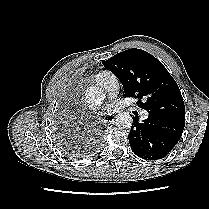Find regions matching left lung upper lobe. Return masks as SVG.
<instances>
[{"label":"left lung upper lobe","instance_id":"left-lung-upper-lobe-1","mask_svg":"<svg viewBox=\"0 0 209 209\" xmlns=\"http://www.w3.org/2000/svg\"><path fill=\"white\" fill-rule=\"evenodd\" d=\"M103 65L120 80L126 97L139 99L140 108L151 115L174 116L185 121L179 87L153 55L141 49H129L103 61Z\"/></svg>","mask_w":209,"mask_h":209}]
</instances>
